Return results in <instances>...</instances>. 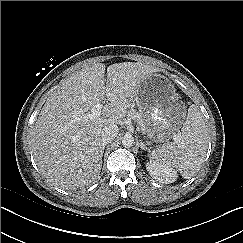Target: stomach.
Here are the masks:
<instances>
[{
    "instance_id": "0dacf381",
    "label": "stomach",
    "mask_w": 243,
    "mask_h": 243,
    "mask_svg": "<svg viewBox=\"0 0 243 243\" xmlns=\"http://www.w3.org/2000/svg\"><path fill=\"white\" fill-rule=\"evenodd\" d=\"M135 101L146 122L147 136L155 143L169 142L186 118V106L164 75L153 73L138 87Z\"/></svg>"
}]
</instances>
